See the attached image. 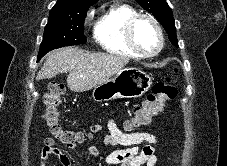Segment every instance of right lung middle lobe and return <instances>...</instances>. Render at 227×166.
<instances>
[{"label": "right lung middle lobe", "instance_id": "right-lung-middle-lobe-1", "mask_svg": "<svg viewBox=\"0 0 227 166\" xmlns=\"http://www.w3.org/2000/svg\"><path fill=\"white\" fill-rule=\"evenodd\" d=\"M87 10L49 14L38 60L50 50L86 43L84 20Z\"/></svg>", "mask_w": 227, "mask_h": 166}]
</instances>
